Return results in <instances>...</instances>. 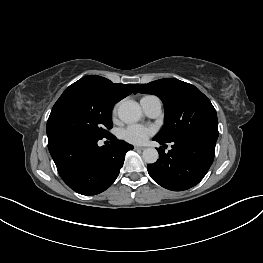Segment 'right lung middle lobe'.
I'll return each instance as SVG.
<instances>
[{
	"label": "right lung middle lobe",
	"instance_id": "right-lung-middle-lobe-1",
	"mask_svg": "<svg viewBox=\"0 0 263 263\" xmlns=\"http://www.w3.org/2000/svg\"><path fill=\"white\" fill-rule=\"evenodd\" d=\"M113 106L114 103L90 90L79 87L65 90L47 121L48 140L67 135L110 136Z\"/></svg>",
	"mask_w": 263,
	"mask_h": 263
}]
</instances>
